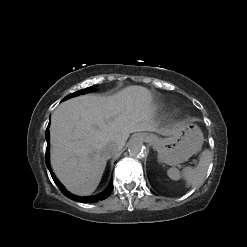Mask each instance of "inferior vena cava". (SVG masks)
Returning a JSON list of instances; mask_svg holds the SVG:
<instances>
[{
	"label": "inferior vena cava",
	"instance_id": "inferior-vena-cava-1",
	"mask_svg": "<svg viewBox=\"0 0 247 247\" xmlns=\"http://www.w3.org/2000/svg\"><path fill=\"white\" fill-rule=\"evenodd\" d=\"M120 149L121 148L116 143H108L104 148L105 152L109 155L116 154L118 151H120Z\"/></svg>",
	"mask_w": 247,
	"mask_h": 247
}]
</instances>
